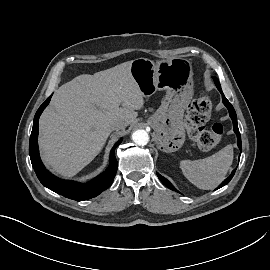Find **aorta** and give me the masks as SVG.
I'll use <instances>...</instances> for the list:
<instances>
[{"instance_id": "obj_1", "label": "aorta", "mask_w": 270, "mask_h": 270, "mask_svg": "<svg viewBox=\"0 0 270 270\" xmlns=\"http://www.w3.org/2000/svg\"><path fill=\"white\" fill-rule=\"evenodd\" d=\"M132 140L139 146H144L149 142V135L145 130H136L132 134Z\"/></svg>"}]
</instances>
